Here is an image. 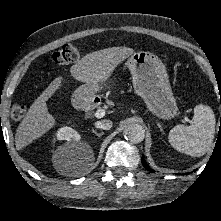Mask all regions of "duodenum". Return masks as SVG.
<instances>
[{
  "label": "duodenum",
  "instance_id": "1",
  "mask_svg": "<svg viewBox=\"0 0 221 221\" xmlns=\"http://www.w3.org/2000/svg\"><path fill=\"white\" fill-rule=\"evenodd\" d=\"M95 101H89L86 98H81L77 105L85 111H91L94 108Z\"/></svg>",
  "mask_w": 221,
  "mask_h": 221
}]
</instances>
